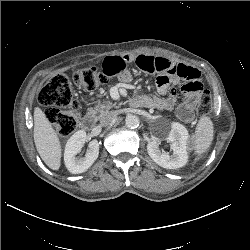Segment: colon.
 I'll return each instance as SVG.
<instances>
[{"instance_id":"1","label":"colon","mask_w":250,"mask_h":250,"mask_svg":"<svg viewBox=\"0 0 250 250\" xmlns=\"http://www.w3.org/2000/svg\"><path fill=\"white\" fill-rule=\"evenodd\" d=\"M112 76L95 67L77 70L72 80L66 74L52 77L39 95V102L47 109V117L59 134L70 135L76 130L79 117V103L74 97L73 83L86 91H95ZM212 110V97L209 91L202 89L197 104L200 115Z\"/></svg>"}]
</instances>
